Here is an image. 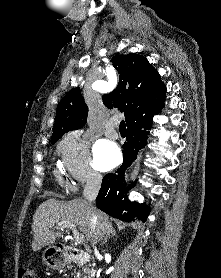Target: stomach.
I'll return each mask as SVG.
<instances>
[{
  "mask_svg": "<svg viewBox=\"0 0 221 278\" xmlns=\"http://www.w3.org/2000/svg\"><path fill=\"white\" fill-rule=\"evenodd\" d=\"M44 263L53 270H58L65 266L66 262L57 247L49 246L43 253Z\"/></svg>",
  "mask_w": 221,
  "mask_h": 278,
  "instance_id": "obj_1",
  "label": "stomach"
}]
</instances>
